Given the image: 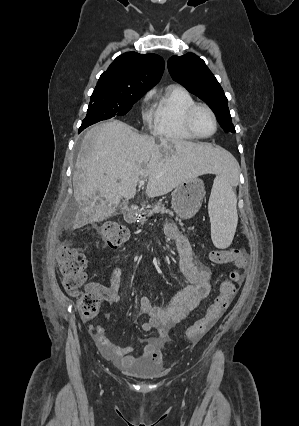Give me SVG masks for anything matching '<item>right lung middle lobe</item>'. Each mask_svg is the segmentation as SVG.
<instances>
[{
	"label": "right lung middle lobe",
	"instance_id": "right-lung-middle-lobe-1",
	"mask_svg": "<svg viewBox=\"0 0 299 426\" xmlns=\"http://www.w3.org/2000/svg\"><path fill=\"white\" fill-rule=\"evenodd\" d=\"M145 93L125 94L112 89L96 87L90 98L86 118L80 127L81 131L89 125L110 119L115 115H125Z\"/></svg>",
	"mask_w": 299,
	"mask_h": 426
}]
</instances>
